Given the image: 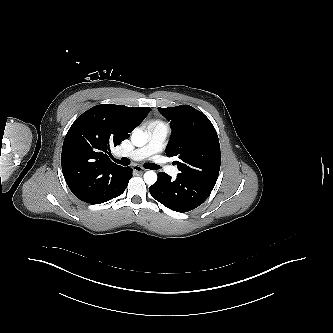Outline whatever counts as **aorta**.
<instances>
[{
	"instance_id": "762f6f07",
	"label": "aorta",
	"mask_w": 333,
	"mask_h": 333,
	"mask_svg": "<svg viewBox=\"0 0 333 333\" xmlns=\"http://www.w3.org/2000/svg\"><path fill=\"white\" fill-rule=\"evenodd\" d=\"M132 143L137 147H142L147 143V134L140 129H135L131 136ZM144 181L148 185H153L157 181V174L154 171L144 173Z\"/></svg>"
}]
</instances>
